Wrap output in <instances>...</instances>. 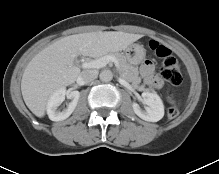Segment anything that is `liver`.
Returning <instances> with one entry per match:
<instances>
[{
  "instance_id": "1",
  "label": "liver",
  "mask_w": 219,
  "mask_h": 174,
  "mask_svg": "<svg viewBox=\"0 0 219 174\" xmlns=\"http://www.w3.org/2000/svg\"><path fill=\"white\" fill-rule=\"evenodd\" d=\"M140 38L139 34L105 31L75 34L55 41L36 54L24 70L21 92L25 104L37 117H43L51 95L72 85L80 76V68L74 65L78 56L100 57L125 50Z\"/></svg>"
}]
</instances>
